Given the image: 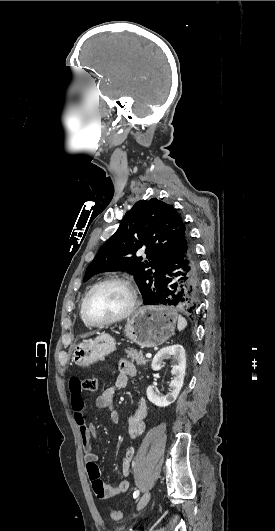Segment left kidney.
Listing matches in <instances>:
<instances>
[{
  "instance_id": "obj_1",
  "label": "left kidney",
  "mask_w": 275,
  "mask_h": 531,
  "mask_svg": "<svg viewBox=\"0 0 275 531\" xmlns=\"http://www.w3.org/2000/svg\"><path fill=\"white\" fill-rule=\"evenodd\" d=\"M170 355H175L178 361L177 365H174L171 371L172 375H175L173 381H171L169 385L172 389L171 393H167L165 397H159V395H156L154 387H151V385L150 387H147V397L149 401L154 403V405H157V407H168V405L174 403L183 387L186 369V355L185 349H183L182 345H172V347H164V349H160L157 355H155L151 367L153 371H160V369H162V359L170 357Z\"/></svg>"
}]
</instances>
